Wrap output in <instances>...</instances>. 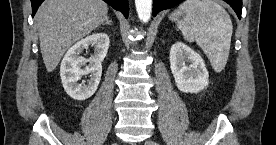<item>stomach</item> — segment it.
<instances>
[{
    "instance_id": "stomach-1",
    "label": "stomach",
    "mask_w": 276,
    "mask_h": 145,
    "mask_svg": "<svg viewBox=\"0 0 276 145\" xmlns=\"http://www.w3.org/2000/svg\"><path fill=\"white\" fill-rule=\"evenodd\" d=\"M170 19H172V20H173L172 15L170 16Z\"/></svg>"
}]
</instances>
